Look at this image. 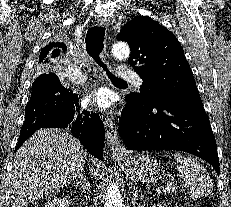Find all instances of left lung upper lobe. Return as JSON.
Returning a JSON list of instances; mask_svg holds the SVG:
<instances>
[{"label": "left lung upper lobe", "mask_w": 231, "mask_h": 207, "mask_svg": "<svg viewBox=\"0 0 231 207\" xmlns=\"http://www.w3.org/2000/svg\"><path fill=\"white\" fill-rule=\"evenodd\" d=\"M117 40L129 44L128 63L143 80L140 94L131 93L127 100L151 104L199 96L183 48L167 28L150 17L138 16L122 27Z\"/></svg>", "instance_id": "5c2ea615"}]
</instances>
